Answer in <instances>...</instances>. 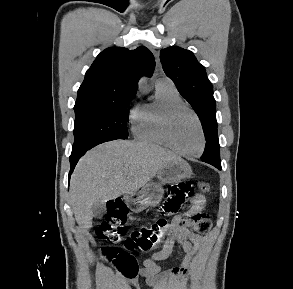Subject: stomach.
Segmentation results:
<instances>
[{"mask_svg": "<svg viewBox=\"0 0 293 289\" xmlns=\"http://www.w3.org/2000/svg\"><path fill=\"white\" fill-rule=\"evenodd\" d=\"M191 166L184 160L167 163L157 173L159 182L147 183L138 194L127 196L132 211L141 212L147 207L157 206L164 194L163 185L176 183L192 176Z\"/></svg>", "mask_w": 293, "mask_h": 289, "instance_id": "obj_1", "label": "stomach"}]
</instances>
